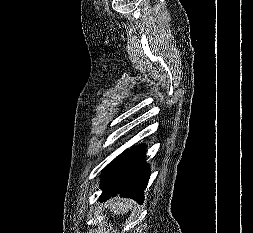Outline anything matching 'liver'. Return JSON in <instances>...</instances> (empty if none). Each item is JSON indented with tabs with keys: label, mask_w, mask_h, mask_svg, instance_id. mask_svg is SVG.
I'll list each match as a JSON object with an SVG mask.
<instances>
[{
	"label": "liver",
	"mask_w": 253,
	"mask_h": 233,
	"mask_svg": "<svg viewBox=\"0 0 253 233\" xmlns=\"http://www.w3.org/2000/svg\"><path fill=\"white\" fill-rule=\"evenodd\" d=\"M134 204L132 200L119 199L113 202L111 211L116 215L119 214V210L122 211V213H126L127 209H132Z\"/></svg>",
	"instance_id": "6515ba94"
}]
</instances>
